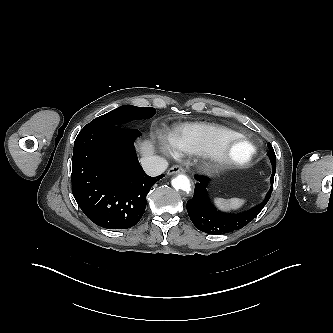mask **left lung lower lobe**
I'll return each instance as SVG.
<instances>
[{
    "label": "left lung lower lobe",
    "mask_w": 333,
    "mask_h": 333,
    "mask_svg": "<svg viewBox=\"0 0 333 333\" xmlns=\"http://www.w3.org/2000/svg\"><path fill=\"white\" fill-rule=\"evenodd\" d=\"M276 167H273L270 178L271 187L262 203L240 214H226L218 211L210 202L207 194L209 179L195 176L198 183L195 185L193 198L187 202V212L195 227L203 232L212 234H225L246 226L261 212L271 197Z\"/></svg>",
    "instance_id": "left-lung-lower-lobe-1"
}]
</instances>
